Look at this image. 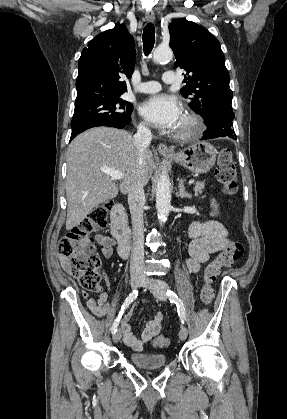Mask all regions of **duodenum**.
I'll return each instance as SVG.
<instances>
[{
	"label": "duodenum",
	"instance_id": "410a0bca",
	"mask_svg": "<svg viewBox=\"0 0 287 419\" xmlns=\"http://www.w3.org/2000/svg\"><path fill=\"white\" fill-rule=\"evenodd\" d=\"M111 233L119 245V254L125 257L129 251L130 229L127 223L125 208L116 204L111 211Z\"/></svg>",
	"mask_w": 287,
	"mask_h": 419
}]
</instances>
